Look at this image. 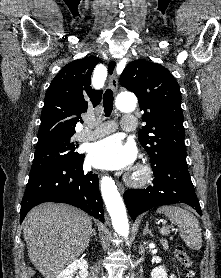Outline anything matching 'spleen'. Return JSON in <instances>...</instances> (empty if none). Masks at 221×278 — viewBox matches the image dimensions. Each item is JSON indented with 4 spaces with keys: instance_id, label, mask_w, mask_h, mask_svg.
Returning a JSON list of instances; mask_svg holds the SVG:
<instances>
[{
    "instance_id": "3e777b00",
    "label": "spleen",
    "mask_w": 221,
    "mask_h": 278,
    "mask_svg": "<svg viewBox=\"0 0 221 278\" xmlns=\"http://www.w3.org/2000/svg\"><path fill=\"white\" fill-rule=\"evenodd\" d=\"M156 213L164 214L173 223L178 225L181 239L193 250L202 247V233L198 219L188 210L178 206H161ZM162 235L170 232L165 228L160 229Z\"/></svg>"
}]
</instances>
